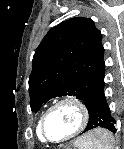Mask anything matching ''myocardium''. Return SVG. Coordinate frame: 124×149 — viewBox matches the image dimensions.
I'll return each mask as SVG.
<instances>
[{
    "label": "myocardium",
    "instance_id": "f54148a6",
    "mask_svg": "<svg viewBox=\"0 0 124 149\" xmlns=\"http://www.w3.org/2000/svg\"><path fill=\"white\" fill-rule=\"evenodd\" d=\"M64 105H72L77 110L78 116H79L78 126L67 137H65L61 140H52L48 137V135L46 133V128H45L46 121H47L49 115L52 113V111H54L56 108L64 106ZM88 121H89V110H88L87 106L84 104V102H82L81 100H79L78 98H75V97H66V98H63V99L55 102L45 111V113L43 114V116L41 118L39 128H40L41 136L46 142H49L52 144H62V143L70 141L71 139L78 136L81 132H83V130L86 128V126L88 124Z\"/></svg>",
    "mask_w": 124,
    "mask_h": 149
}]
</instances>
